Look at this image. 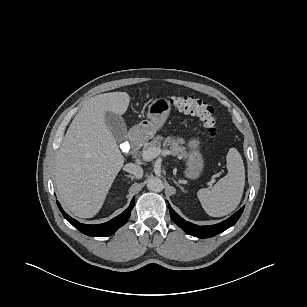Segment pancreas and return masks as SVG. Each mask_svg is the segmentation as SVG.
Masks as SVG:
<instances>
[{"label": "pancreas", "mask_w": 307, "mask_h": 307, "mask_svg": "<svg viewBox=\"0 0 307 307\" xmlns=\"http://www.w3.org/2000/svg\"><path fill=\"white\" fill-rule=\"evenodd\" d=\"M161 144L163 147H169V153L179 159L185 158L188 154L185 150V147L181 146L184 144V140L182 138L174 139L173 137L168 136L164 139L160 135L154 137L151 142L144 143L143 151L154 147L160 148Z\"/></svg>", "instance_id": "pancreas-1"}]
</instances>
